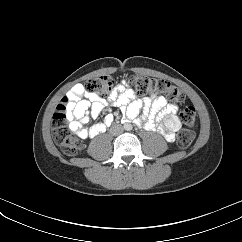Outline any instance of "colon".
<instances>
[{"instance_id": "5ec220e1", "label": "colon", "mask_w": 242, "mask_h": 242, "mask_svg": "<svg viewBox=\"0 0 242 242\" xmlns=\"http://www.w3.org/2000/svg\"><path fill=\"white\" fill-rule=\"evenodd\" d=\"M130 82L135 93L140 96L163 94L174 103H183L185 100L184 93L178 87L162 79L133 74L130 77ZM114 84L115 80L111 75H102L87 80L84 89L86 92L105 96L112 92ZM180 117L185 127L178 133L177 143L181 148H186L194 138L192 128L196 125V111L192 106H186L180 112ZM52 130L54 141L64 154L74 156L81 150L82 142L69 126L61 105L57 107V111L53 114Z\"/></svg>"}]
</instances>
